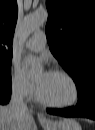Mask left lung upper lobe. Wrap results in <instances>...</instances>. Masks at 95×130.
Listing matches in <instances>:
<instances>
[{"instance_id": "5c2ea615", "label": "left lung upper lobe", "mask_w": 95, "mask_h": 130, "mask_svg": "<svg viewBox=\"0 0 95 130\" xmlns=\"http://www.w3.org/2000/svg\"><path fill=\"white\" fill-rule=\"evenodd\" d=\"M46 7L49 48L80 93L95 82V2L47 0Z\"/></svg>"}]
</instances>
